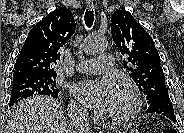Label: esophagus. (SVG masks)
<instances>
[{
	"label": "esophagus",
	"instance_id": "obj_1",
	"mask_svg": "<svg viewBox=\"0 0 184 133\" xmlns=\"http://www.w3.org/2000/svg\"><path fill=\"white\" fill-rule=\"evenodd\" d=\"M86 5H87V8H88V9L93 8V0H87V1H86Z\"/></svg>",
	"mask_w": 184,
	"mask_h": 133
}]
</instances>
